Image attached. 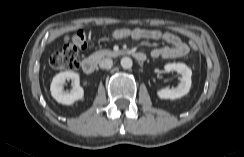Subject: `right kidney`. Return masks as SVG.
I'll list each match as a JSON object with an SVG mask.
<instances>
[{
	"label": "right kidney",
	"mask_w": 244,
	"mask_h": 157,
	"mask_svg": "<svg viewBox=\"0 0 244 157\" xmlns=\"http://www.w3.org/2000/svg\"><path fill=\"white\" fill-rule=\"evenodd\" d=\"M66 80H72L74 82L71 92H65L63 90V84ZM50 91L52 97L63 105H72L84 97V90L79 85V75L71 71L61 72L55 75L50 85Z\"/></svg>",
	"instance_id": "ca27d5eb"
}]
</instances>
